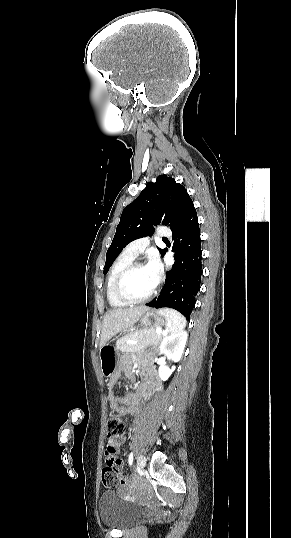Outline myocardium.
Masks as SVG:
<instances>
[{
  "instance_id": "myocardium-1",
  "label": "myocardium",
  "mask_w": 291,
  "mask_h": 538,
  "mask_svg": "<svg viewBox=\"0 0 291 538\" xmlns=\"http://www.w3.org/2000/svg\"><path fill=\"white\" fill-rule=\"evenodd\" d=\"M140 267H145L143 263L141 262H138V261H133L132 263H130L117 277L116 281H115V294L117 296V298L119 300H121L122 302L124 303H127V304H138V303H142V302H145V301H148L149 299H151L153 297V295L156 293L157 291V288H158V282L155 283L154 287L152 288V290L145 296L143 297H132L128 294L126 288H125V283L127 281V279L129 278V276L137 269V268H140Z\"/></svg>"
}]
</instances>
